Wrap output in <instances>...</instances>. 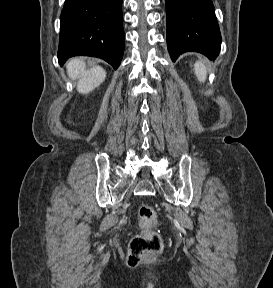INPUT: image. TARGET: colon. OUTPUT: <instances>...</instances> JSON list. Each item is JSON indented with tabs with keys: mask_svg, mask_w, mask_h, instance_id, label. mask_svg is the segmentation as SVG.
<instances>
[{
	"mask_svg": "<svg viewBox=\"0 0 273 288\" xmlns=\"http://www.w3.org/2000/svg\"><path fill=\"white\" fill-rule=\"evenodd\" d=\"M140 233L134 236L129 244L127 262L135 266L143 257L157 255L163 249L161 236L156 232L157 215L149 205L138 209Z\"/></svg>",
	"mask_w": 273,
	"mask_h": 288,
	"instance_id": "obj_1",
	"label": "colon"
}]
</instances>
